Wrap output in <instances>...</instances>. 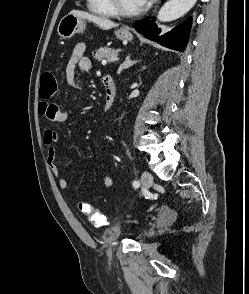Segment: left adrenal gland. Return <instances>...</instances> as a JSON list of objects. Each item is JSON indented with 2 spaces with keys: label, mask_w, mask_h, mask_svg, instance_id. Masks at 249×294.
I'll return each mask as SVG.
<instances>
[{
  "label": "left adrenal gland",
  "mask_w": 249,
  "mask_h": 294,
  "mask_svg": "<svg viewBox=\"0 0 249 294\" xmlns=\"http://www.w3.org/2000/svg\"><path fill=\"white\" fill-rule=\"evenodd\" d=\"M138 61L131 60V55H128L125 61L119 66L117 73L120 74L124 69L131 67L132 65L136 64Z\"/></svg>",
  "instance_id": "left-adrenal-gland-1"
}]
</instances>
